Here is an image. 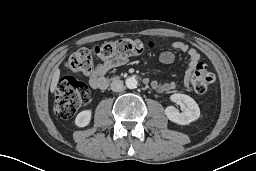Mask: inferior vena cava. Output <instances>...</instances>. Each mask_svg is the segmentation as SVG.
I'll use <instances>...</instances> for the list:
<instances>
[{"label":"inferior vena cava","mask_w":256,"mask_h":171,"mask_svg":"<svg viewBox=\"0 0 256 171\" xmlns=\"http://www.w3.org/2000/svg\"><path fill=\"white\" fill-rule=\"evenodd\" d=\"M123 87V81L121 80H114L110 85V88L113 92H119L123 90Z\"/></svg>","instance_id":"1"}]
</instances>
